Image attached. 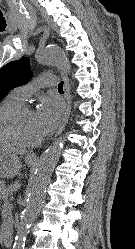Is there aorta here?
Listing matches in <instances>:
<instances>
[{"instance_id": "aorta-1", "label": "aorta", "mask_w": 135, "mask_h": 249, "mask_svg": "<svg viewBox=\"0 0 135 249\" xmlns=\"http://www.w3.org/2000/svg\"><path fill=\"white\" fill-rule=\"evenodd\" d=\"M36 58L43 64H49L70 72L64 52L57 46L44 47L36 52ZM65 138L60 137L41 155L27 187V202L18 224L13 249H24L29 228L34 222L45 198L46 187L52 170L57 164L64 148Z\"/></svg>"}]
</instances>
